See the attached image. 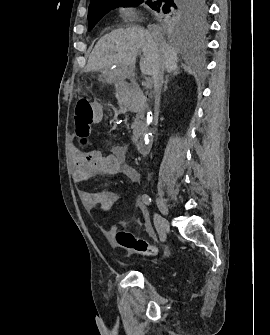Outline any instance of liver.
Masks as SVG:
<instances>
[{
  "label": "liver",
  "instance_id": "liver-1",
  "mask_svg": "<svg viewBox=\"0 0 270 335\" xmlns=\"http://www.w3.org/2000/svg\"><path fill=\"white\" fill-rule=\"evenodd\" d=\"M138 52H143L144 60L140 62V68L145 76H153L159 70L177 74L176 48L166 44L163 38L156 42L149 30L139 26L118 28L102 36L88 58L85 72H102L116 66L122 80H125L134 76Z\"/></svg>",
  "mask_w": 270,
  "mask_h": 335
}]
</instances>
